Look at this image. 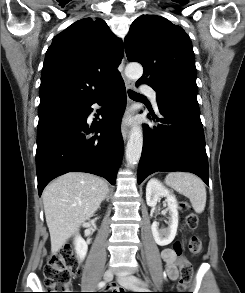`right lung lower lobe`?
<instances>
[{
    "label": "right lung lower lobe",
    "instance_id": "obj_1",
    "mask_svg": "<svg viewBox=\"0 0 245 293\" xmlns=\"http://www.w3.org/2000/svg\"><path fill=\"white\" fill-rule=\"evenodd\" d=\"M106 101L102 119L89 125L87 117L92 111L91 105ZM125 106V85L120 77L88 102L38 126L39 196L52 179L68 172L92 173L104 177L112 185L115 183L124 150L120 123Z\"/></svg>",
    "mask_w": 245,
    "mask_h": 293
}]
</instances>
